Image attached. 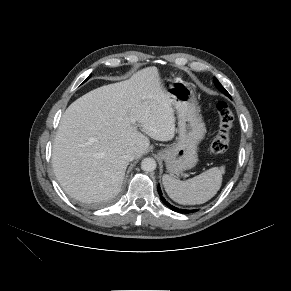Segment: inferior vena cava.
Wrapping results in <instances>:
<instances>
[{
    "label": "inferior vena cava",
    "mask_w": 291,
    "mask_h": 291,
    "mask_svg": "<svg viewBox=\"0 0 291 291\" xmlns=\"http://www.w3.org/2000/svg\"><path fill=\"white\" fill-rule=\"evenodd\" d=\"M136 148L132 147L125 151L123 157L127 161H132L135 158Z\"/></svg>",
    "instance_id": "obj_1"
}]
</instances>
